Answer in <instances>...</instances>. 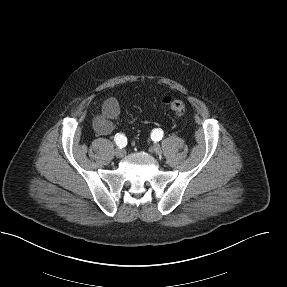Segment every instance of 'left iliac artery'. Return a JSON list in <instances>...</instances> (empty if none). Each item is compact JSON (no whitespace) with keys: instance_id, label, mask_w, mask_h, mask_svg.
<instances>
[{"instance_id":"44dca946","label":"left iliac artery","mask_w":287,"mask_h":287,"mask_svg":"<svg viewBox=\"0 0 287 287\" xmlns=\"http://www.w3.org/2000/svg\"><path fill=\"white\" fill-rule=\"evenodd\" d=\"M163 137L162 129H154L151 133V138L154 141H160Z\"/></svg>"}]
</instances>
